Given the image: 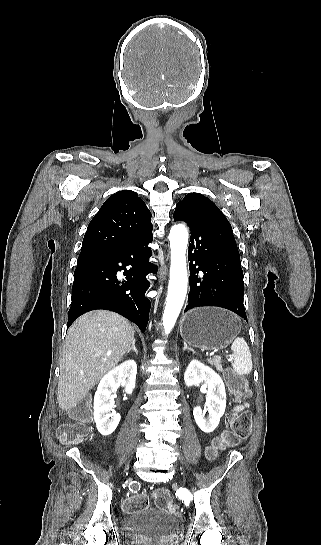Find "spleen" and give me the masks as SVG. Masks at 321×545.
I'll use <instances>...</instances> for the list:
<instances>
[{
  "label": "spleen",
  "instance_id": "1",
  "mask_svg": "<svg viewBox=\"0 0 321 545\" xmlns=\"http://www.w3.org/2000/svg\"><path fill=\"white\" fill-rule=\"evenodd\" d=\"M231 351L234 353V363H232L234 373L249 375L252 371V359L246 341L242 337H237L231 345Z\"/></svg>",
  "mask_w": 321,
  "mask_h": 545
}]
</instances>
